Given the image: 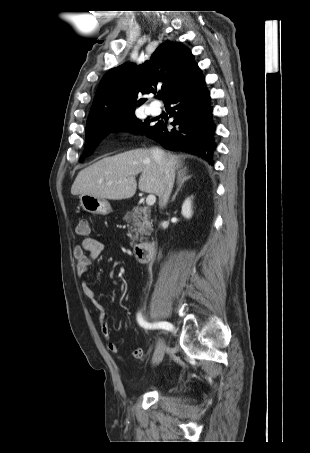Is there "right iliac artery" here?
Masks as SVG:
<instances>
[{
	"instance_id": "1",
	"label": "right iliac artery",
	"mask_w": 310,
	"mask_h": 453,
	"mask_svg": "<svg viewBox=\"0 0 310 453\" xmlns=\"http://www.w3.org/2000/svg\"><path fill=\"white\" fill-rule=\"evenodd\" d=\"M137 321L141 327L146 328V329L162 328V329H166V330H173L172 324H170L168 322H159V323H154V324L146 322L142 318V315L140 313L137 314Z\"/></svg>"
}]
</instances>
